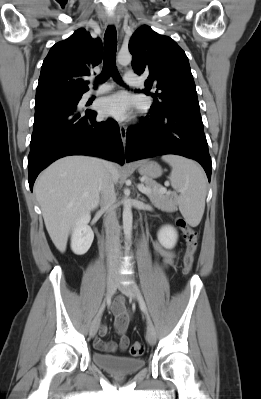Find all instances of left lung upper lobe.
Returning <instances> with one entry per match:
<instances>
[{"mask_svg":"<svg viewBox=\"0 0 261 399\" xmlns=\"http://www.w3.org/2000/svg\"><path fill=\"white\" fill-rule=\"evenodd\" d=\"M129 51L134 71L149 73L146 90L157 89L152 113L165 114L186 106L199 108L188 58L173 39L144 25L132 35Z\"/></svg>","mask_w":261,"mask_h":399,"instance_id":"obj_1","label":"left lung upper lobe"}]
</instances>
